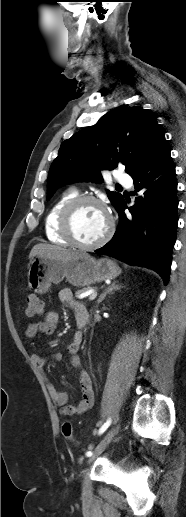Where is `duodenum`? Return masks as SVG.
Segmentation results:
<instances>
[{
    "mask_svg": "<svg viewBox=\"0 0 186 517\" xmlns=\"http://www.w3.org/2000/svg\"><path fill=\"white\" fill-rule=\"evenodd\" d=\"M89 322V313L88 311L82 310L77 314V323L78 326L82 329L84 328Z\"/></svg>",
    "mask_w": 186,
    "mask_h": 517,
    "instance_id": "410a0bca",
    "label": "duodenum"
}]
</instances>
